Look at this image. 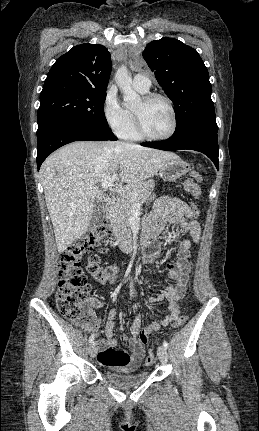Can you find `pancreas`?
Here are the masks:
<instances>
[{"instance_id":"obj_1","label":"pancreas","mask_w":259,"mask_h":431,"mask_svg":"<svg viewBox=\"0 0 259 431\" xmlns=\"http://www.w3.org/2000/svg\"><path fill=\"white\" fill-rule=\"evenodd\" d=\"M155 183L152 180L134 183L128 186L117 200L113 210L109 215L111 226L119 236L130 234L129 219L132 207L135 202L142 204L151 195ZM136 192L138 195L133 197L130 193Z\"/></svg>"}]
</instances>
